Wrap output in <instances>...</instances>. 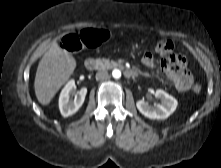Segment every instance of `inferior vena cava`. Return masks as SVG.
Listing matches in <instances>:
<instances>
[{
    "label": "inferior vena cava",
    "instance_id": "inferior-vena-cava-1",
    "mask_svg": "<svg viewBox=\"0 0 221 168\" xmlns=\"http://www.w3.org/2000/svg\"><path fill=\"white\" fill-rule=\"evenodd\" d=\"M109 78V74L106 70H100L96 73V80L103 81Z\"/></svg>",
    "mask_w": 221,
    "mask_h": 168
}]
</instances>
